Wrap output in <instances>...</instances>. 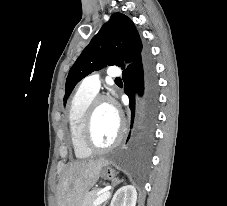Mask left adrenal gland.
<instances>
[{
  "label": "left adrenal gland",
  "instance_id": "1",
  "mask_svg": "<svg viewBox=\"0 0 227 206\" xmlns=\"http://www.w3.org/2000/svg\"><path fill=\"white\" fill-rule=\"evenodd\" d=\"M121 182H123V180H120V179H114V180L112 181L113 187H112V189H111V191H110V195H109L108 199L105 201V203L103 204V206H106V204L108 203V201H109L110 198H111V195H112V192H113L115 186L118 185V184L121 183Z\"/></svg>",
  "mask_w": 227,
  "mask_h": 206
}]
</instances>
